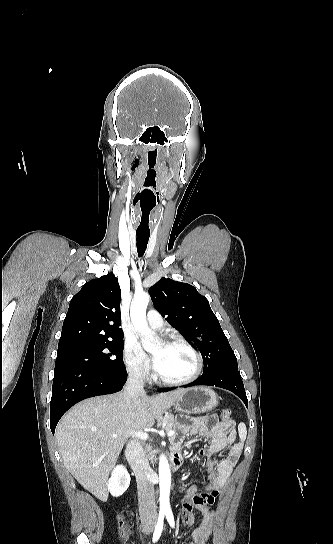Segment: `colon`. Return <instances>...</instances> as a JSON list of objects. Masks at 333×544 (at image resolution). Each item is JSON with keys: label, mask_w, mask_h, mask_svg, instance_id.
Segmentation results:
<instances>
[{"label": "colon", "mask_w": 333, "mask_h": 544, "mask_svg": "<svg viewBox=\"0 0 333 544\" xmlns=\"http://www.w3.org/2000/svg\"><path fill=\"white\" fill-rule=\"evenodd\" d=\"M232 416V410L229 408H225L221 411L220 417L224 422H229ZM119 530L121 535L123 536L125 534V527L124 522L121 518H119Z\"/></svg>", "instance_id": "colon-1"}]
</instances>
